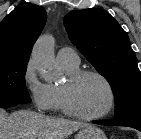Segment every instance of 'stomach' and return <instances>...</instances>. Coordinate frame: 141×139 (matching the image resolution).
Returning a JSON list of instances; mask_svg holds the SVG:
<instances>
[{
    "label": "stomach",
    "mask_w": 141,
    "mask_h": 139,
    "mask_svg": "<svg viewBox=\"0 0 141 139\" xmlns=\"http://www.w3.org/2000/svg\"><path fill=\"white\" fill-rule=\"evenodd\" d=\"M75 139H107L106 135L99 128L88 125L83 127L75 136Z\"/></svg>",
    "instance_id": "obj_1"
}]
</instances>
